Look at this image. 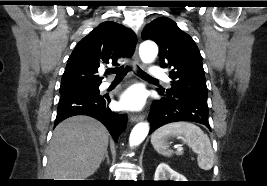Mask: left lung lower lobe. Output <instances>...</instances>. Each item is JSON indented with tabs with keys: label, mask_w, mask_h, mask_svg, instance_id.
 <instances>
[{
	"label": "left lung lower lobe",
	"mask_w": 267,
	"mask_h": 186,
	"mask_svg": "<svg viewBox=\"0 0 267 186\" xmlns=\"http://www.w3.org/2000/svg\"><path fill=\"white\" fill-rule=\"evenodd\" d=\"M162 98L153 102L149 116L150 133L159 127L178 121H190L205 125L211 130L207 100L189 97L180 93H160Z\"/></svg>",
	"instance_id": "1"
}]
</instances>
